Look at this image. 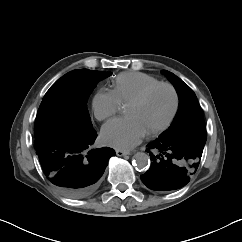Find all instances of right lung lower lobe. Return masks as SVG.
<instances>
[{
	"label": "right lung lower lobe",
	"instance_id": "1",
	"mask_svg": "<svg viewBox=\"0 0 242 242\" xmlns=\"http://www.w3.org/2000/svg\"><path fill=\"white\" fill-rule=\"evenodd\" d=\"M97 137L87 129L53 128L35 136V149L44 174L64 195L82 199L93 195L101 182L112 148L93 149Z\"/></svg>",
	"mask_w": 242,
	"mask_h": 242
}]
</instances>
